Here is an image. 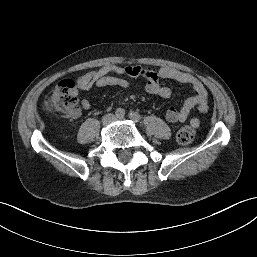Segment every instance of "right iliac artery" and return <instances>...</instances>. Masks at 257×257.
<instances>
[{"label":"right iliac artery","mask_w":257,"mask_h":257,"mask_svg":"<svg viewBox=\"0 0 257 257\" xmlns=\"http://www.w3.org/2000/svg\"><path fill=\"white\" fill-rule=\"evenodd\" d=\"M116 116L119 118H123L125 116V111L121 108L116 110Z\"/></svg>","instance_id":"right-iliac-artery-1"}]
</instances>
